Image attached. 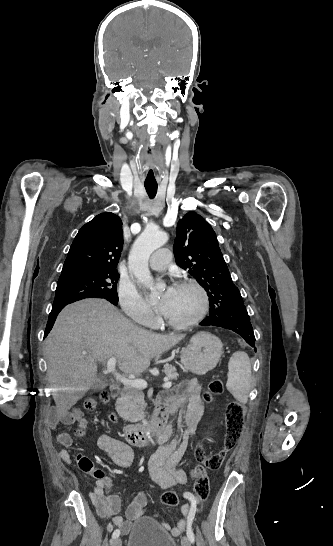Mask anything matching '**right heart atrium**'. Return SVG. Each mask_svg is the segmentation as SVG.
I'll use <instances>...</instances> for the list:
<instances>
[{
	"mask_svg": "<svg viewBox=\"0 0 333 546\" xmlns=\"http://www.w3.org/2000/svg\"><path fill=\"white\" fill-rule=\"evenodd\" d=\"M118 298L124 313L133 321L152 325L156 317L137 289L128 281L121 280L118 285Z\"/></svg>",
	"mask_w": 333,
	"mask_h": 546,
	"instance_id": "1",
	"label": "right heart atrium"
}]
</instances>
